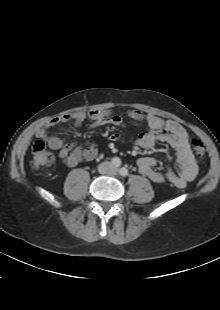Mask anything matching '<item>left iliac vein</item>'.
<instances>
[{"mask_svg": "<svg viewBox=\"0 0 220 310\" xmlns=\"http://www.w3.org/2000/svg\"><path fill=\"white\" fill-rule=\"evenodd\" d=\"M112 172H113L114 174H116V173H117V169H113Z\"/></svg>", "mask_w": 220, "mask_h": 310, "instance_id": "obj_1", "label": "left iliac vein"}]
</instances>
